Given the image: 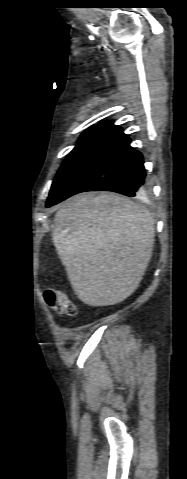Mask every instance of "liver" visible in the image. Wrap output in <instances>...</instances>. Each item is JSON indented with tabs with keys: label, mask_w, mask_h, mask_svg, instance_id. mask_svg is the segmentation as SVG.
Segmentation results:
<instances>
[{
	"label": "liver",
	"mask_w": 187,
	"mask_h": 479,
	"mask_svg": "<svg viewBox=\"0 0 187 479\" xmlns=\"http://www.w3.org/2000/svg\"><path fill=\"white\" fill-rule=\"evenodd\" d=\"M52 241L78 298L115 305L139 286L152 256L151 214L113 193H84L60 205Z\"/></svg>",
	"instance_id": "1"
}]
</instances>
